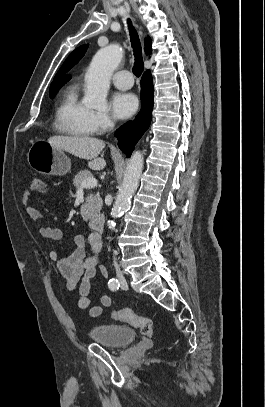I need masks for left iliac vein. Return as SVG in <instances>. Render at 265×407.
Returning a JSON list of instances; mask_svg holds the SVG:
<instances>
[{"mask_svg":"<svg viewBox=\"0 0 265 407\" xmlns=\"http://www.w3.org/2000/svg\"><path fill=\"white\" fill-rule=\"evenodd\" d=\"M128 288L127 282L125 279L121 280V289L126 290Z\"/></svg>","mask_w":265,"mask_h":407,"instance_id":"left-iliac-vein-1","label":"left iliac vein"}]
</instances>
